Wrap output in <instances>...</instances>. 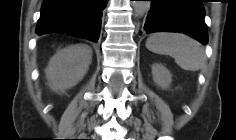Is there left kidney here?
<instances>
[{
    "label": "left kidney",
    "instance_id": "5707ae66",
    "mask_svg": "<svg viewBox=\"0 0 236 140\" xmlns=\"http://www.w3.org/2000/svg\"><path fill=\"white\" fill-rule=\"evenodd\" d=\"M152 75L154 82L162 89H167L172 81V75L168 69L161 64L152 65Z\"/></svg>",
    "mask_w": 236,
    "mask_h": 140
}]
</instances>
